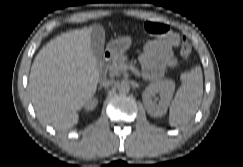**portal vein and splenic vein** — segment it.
<instances>
[{"mask_svg": "<svg viewBox=\"0 0 243 167\" xmlns=\"http://www.w3.org/2000/svg\"><path fill=\"white\" fill-rule=\"evenodd\" d=\"M128 68L131 69L133 72L138 74V71L133 66H131V65L130 66H127V65L123 66V70H127Z\"/></svg>", "mask_w": 243, "mask_h": 167, "instance_id": "obj_1", "label": "portal vein and splenic vein"}]
</instances>
